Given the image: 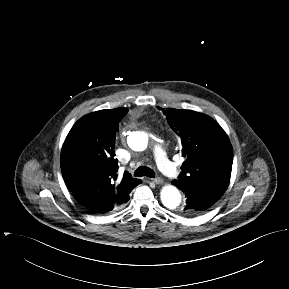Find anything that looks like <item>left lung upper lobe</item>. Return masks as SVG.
<instances>
[{"label": "left lung upper lobe", "instance_id": "left-lung-upper-lobe-1", "mask_svg": "<svg viewBox=\"0 0 289 289\" xmlns=\"http://www.w3.org/2000/svg\"><path fill=\"white\" fill-rule=\"evenodd\" d=\"M181 138L185 161L176 185L220 198L229 185L233 150L228 136L211 117L191 110L164 111Z\"/></svg>", "mask_w": 289, "mask_h": 289}]
</instances>
